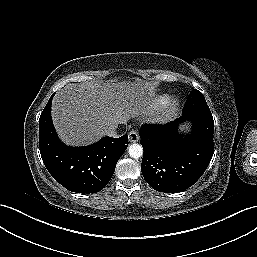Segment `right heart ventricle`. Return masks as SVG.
<instances>
[{"label":"right heart ventricle","instance_id":"obj_1","mask_svg":"<svg viewBox=\"0 0 257 257\" xmlns=\"http://www.w3.org/2000/svg\"><path fill=\"white\" fill-rule=\"evenodd\" d=\"M169 100V97L167 95H162L159 100H158V106H163L165 105Z\"/></svg>","mask_w":257,"mask_h":257}]
</instances>
